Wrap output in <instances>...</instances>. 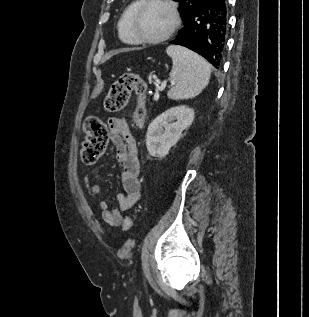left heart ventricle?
Masks as SVG:
<instances>
[{
	"label": "left heart ventricle",
	"instance_id": "obj_1",
	"mask_svg": "<svg viewBox=\"0 0 309 317\" xmlns=\"http://www.w3.org/2000/svg\"><path fill=\"white\" fill-rule=\"evenodd\" d=\"M173 23L171 10L159 3L147 6L141 13L137 28L138 31L148 38H156L165 34Z\"/></svg>",
	"mask_w": 309,
	"mask_h": 317
}]
</instances>
